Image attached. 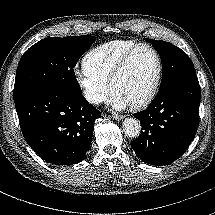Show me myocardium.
<instances>
[{"mask_svg":"<svg viewBox=\"0 0 215 215\" xmlns=\"http://www.w3.org/2000/svg\"><path fill=\"white\" fill-rule=\"evenodd\" d=\"M143 47L148 48L153 52V54L156 58V62H157V69H156V73H155L153 82H152L148 92L146 93V95L140 101L129 105V107L132 110H141V109L147 107L152 102V100L154 99V97L158 91L161 77H162V72H163V62H162V58H161L159 51L150 43L144 42V43L135 44L128 51H126V53L119 59L117 65H116L115 69L113 70V72L110 76V79H109V89L112 92L114 83L126 69L133 54L138 49L143 48Z\"/></svg>","mask_w":215,"mask_h":215,"instance_id":"obj_1","label":"myocardium"}]
</instances>
